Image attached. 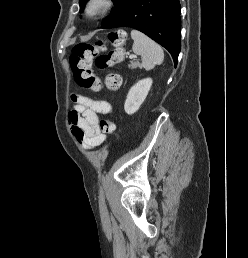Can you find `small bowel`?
<instances>
[{
	"label": "small bowel",
	"mask_w": 248,
	"mask_h": 258,
	"mask_svg": "<svg viewBox=\"0 0 248 258\" xmlns=\"http://www.w3.org/2000/svg\"><path fill=\"white\" fill-rule=\"evenodd\" d=\"M113 77L121 81L119 76ZM74 100L76 105L69 115L71 132L82 149H95L106 140V135L100 129L99 115L110 113L111 105L104 100L79 94L74 95Z\"/></svg>",
	"instance_id": "c3829d8e"
}]
</instances>
